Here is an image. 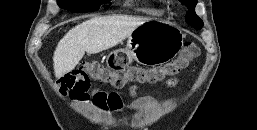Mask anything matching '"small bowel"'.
I'll return each instance as SVG.
<instances>
[{"mask_svg": "<svg viewBox=\"0 0 257 130\" xmlns=\"http://www.w3.org/2000/svg\"><path fill=\"white\" fill-rule=\"evenodd\" d=\"M179 82V79L174 77L166 81L168 87H174ZM136 86L130 89V95L134 98L130 104V108L133 110L143 109L153 103L151 97H137ZM84 103H89L94 107L98 108L102 112H120L123 109V102L121 96L117 92H105L102 90L95 89L92 96L89 95L85 98L79 99Z\"/></svg>", "mask_w": 257, "mask_h": 130, "instance_id": "obj_1", "label": "small bowel"}]
</instances>
